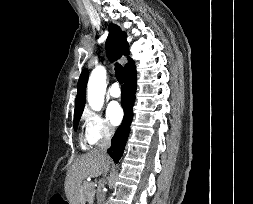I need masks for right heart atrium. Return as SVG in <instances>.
Instances as JSON below:
<instances>
[{"mask_svg":"<svg viewBox=\"0 0 253 204\" xmlns=\"http://www.w3.org/2000/svg\"><path fill=\"white\" fill-rule=\"evenodd\" d=\"M84 131L90 145L99 144L110 139L114 128L109 120L100 112L86 109L83 113Z\"/></svg>","mask_w":253,"mask_h":204,"instance_id":"right-heart-atrium-1","label":"right heart atrium"}]
</instances>
